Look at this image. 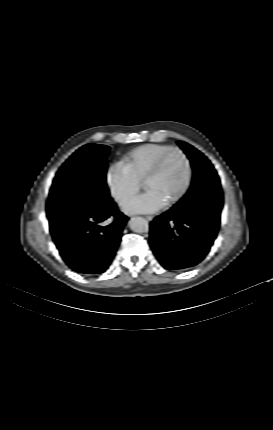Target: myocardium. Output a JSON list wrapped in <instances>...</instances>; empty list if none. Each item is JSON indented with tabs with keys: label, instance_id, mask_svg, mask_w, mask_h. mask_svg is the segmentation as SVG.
<instances>
[{
	"label": "myocardium",
	"instance_id": "f54148a6",
	"mask_svg": "<svg viewBox=\"0 0 273 430\" xmlns=\"http://www.w3.org/2000/svg\"><path fill=\"white\" fill-rule=\"evenodd\" d=\"M172 153L179 154L182 157V159L185 163V166H186V179H185V183H184L183 187L181 188V190L169 202L166 203V205H165L166 207H172L176 203H178L185 196V194L187 193V191L189 190V187L191 185L192 166H191V162H190L189 158L187 157V155L185 154V152L178 147H171V148L167 149L158 158L155 165L153 166V168L151 169V171L148 173V175L146 176V178L144 180V184H146L148 181L159 176L163 167H164V164H165L168 156Z\"/></svg>",
	"mask_w": 273,
	"mask_h": 430
}]
</instances>
